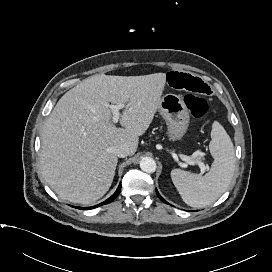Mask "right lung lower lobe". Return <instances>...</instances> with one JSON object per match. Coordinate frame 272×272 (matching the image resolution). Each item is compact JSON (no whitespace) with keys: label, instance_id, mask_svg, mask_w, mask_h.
I'll use <instances>...</instances> for the list:
<instances>
[{"label":"right lung lower lobe","instance_id":"98d812e1","mask_svg":"<svg viewBox=\"0 0 272 272\" xmlns=\"http://www.w3.org/2000/svg\"><path fill=\"white\" fill-rule=\"evenodd\" d=\"M120 189H121V185H119V187L117 188L116 192L110 197L108 198L106 201L96 205V206H93V207H86V208H82V207H76V208H79V209H92V208H96V207H99L101 205H104V204H107V203H110L112 202L120 193Z\"/></svg>","mask_w":272,"mask_h":272}]
</instances>
